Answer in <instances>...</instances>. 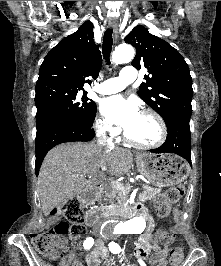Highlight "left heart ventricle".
<instances>
[{
    "label": "left heart ventricle",
    "instance_id": "b2bd125f",
    "mask_svg": "<svg viewBox=\"0 0 221 266\" xmlns=\"http://www.w3.org/2000/svg\"><path fill=\"white\" fill-rule=\"evenodd\" d=\"M126 131L133 140L142 143L154 141L159 133L155 121L150 116L144 114H140L137 121Z\"/></svg>",
    "mask_w": 221,
    "mask_h": 266
}]
</instances>
